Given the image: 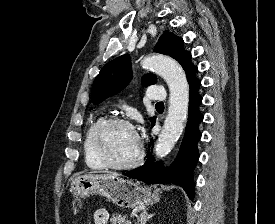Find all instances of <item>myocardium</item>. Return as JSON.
Instances as JSON below:
<instances>
[{
	"label": "myocardium",
	"instance_id": "f54148a6",
	"mask_svg": "<svg viewBox=\"0 0 275 224\" xmlns=\"http://www.w3.org/2000/svg\"><path fill=\"white\" fill-rule=\"evenodd\" d=\"M115 125H124L127 127L132 128L137 135L139 146H138V152L134 159H132L129 162L126 163H116L114 162L111 157L109 156L106 146L104 144V137L108 129ZM92 147L96 154V156L102 161V163L112 169L116 170H127L134 168L138 166L143 158H144V147L142 140L137 133L135 127L126 119L118 117V116H112L108 117L106 119H103L94 129L92 134Z\"/></svg>",
	"mask_w": 275,
	"mask_h": 224
}]
</instances>
